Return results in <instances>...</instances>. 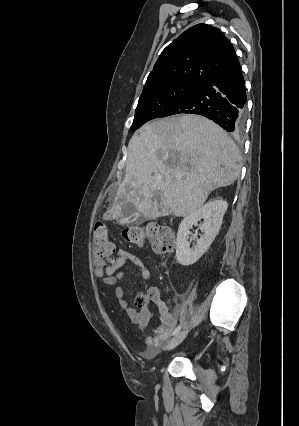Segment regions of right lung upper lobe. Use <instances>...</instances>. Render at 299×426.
I'll return each mask as SVG.
<instances>
[{"label":"right lung upper lobe","mask_w":299,"mask_h":426,"mask_svg":"<svg viewBox=\"0 0 299 426\" xmlns=\"http://www.w3.org/2000/svg\"><path fill=\"white\" fill-rule=\"evenodd\" d=\"M237 60L232 44L218 28L198 24L162 51L143 91L177 82L201 86Z\"/></svg>","instance_id":"1"}]
</instances>
